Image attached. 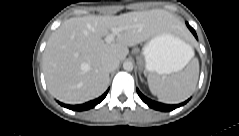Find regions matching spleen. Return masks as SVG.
<instances>
[{"label":"spleen","mask_w":239,"mask_h":136,"mask_svg":"<svg viewBox=\"0 0 239 136\" xmlns=\"http://www.w3.org/2000/svg\"><path fill=\"white\" fill-rule=\"evenodd\" d=\"M194 51H189V60L193 58ZM187 62V64H188ZM199 77V63L193 59L187 67L174 75L160 77L149 74L147 77L149 89L161 102L176 104L187 99L195 90Z\"/></svg>","instance_id":"spleen-1"}]
</instances>
